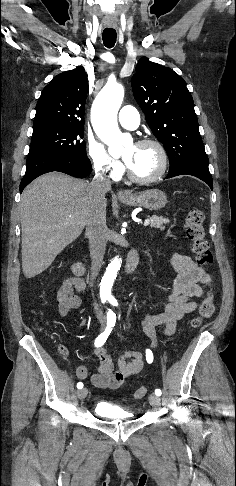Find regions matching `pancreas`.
<instances>
[{
    "label": "pancreas",
    "instance_id": "pancreas-1",
    "mask_svg": "<svg viewBox=\"0 0 236 486\" xmlns=\"http://www.w3.org/2000/svg\"><path fill=\"white\" fill-rule=\"evenodd\" d=\"M167 223H169V219L162 216L153 215L150 217V226L152 228H158L160 230H163Z\"/></svg>",
    "mask_w": 236,
    "mask_h": 486
}]
</instances>
